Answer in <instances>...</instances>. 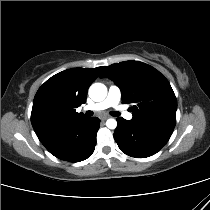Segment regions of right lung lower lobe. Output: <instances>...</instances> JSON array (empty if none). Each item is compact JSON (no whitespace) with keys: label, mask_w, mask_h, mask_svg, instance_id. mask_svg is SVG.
I'll use <instances>...</instances> for the list:
<instances>
[{"label":"right lung lower lobe","mask_w":210,"mask_h":210,"mask_svg":"<svg viewBox=\"0 0 210 210\" xmlns=\"http://www.w3.org/2000/svg\"><path fill=\"white\" fill-rule=\"evenodd\" d=\"M100 119L83 117L77 119L41 141L45 148L55 157L79 162L93 153Z\"/></svg>","instance_id":"right-lung-lower-lobe-1"}]
</instances>
